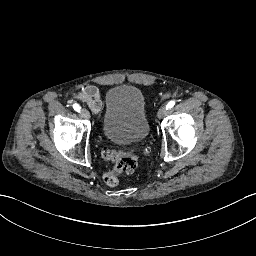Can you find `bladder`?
I'll return each instance as SVG.
<instances>
[{
  "label": "bladder",
  "instance_id": "1",
  "mask_svg": "<svg viewBox=\"0 0 256 256\" xmlns=\"http://www.w3.org/2000/svg\"><path fill=\"white\" fill-rule=\"evenodd\" d=\"M141 91L128 85H117L106 94V107L102 115L104 136L115 144L146 141L150 122Z\"/></svg>",
  "mask_w": 256,
  "mask_h": 256
}]
</instances>
